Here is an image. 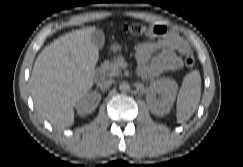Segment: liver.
<instances>
[{"instance_id": "6515ba94", "label": "liver", "mask_w": 243, "mask_h": 167, "mask_svg": "<svg viewBox=\"0 0 243 167\" xmlns=\"http://www.w3.org/2000/svg\"><path fill=\"white\" fill-rule=\"evenodd\" d=\"M91 28L59 37L38 55L31 86L38 115L63 129L74 123V107L92 88L99 54Z\"/></svg>"}]
</instances>
